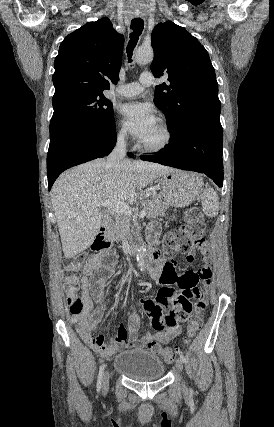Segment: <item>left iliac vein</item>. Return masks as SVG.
<instances>
[{
	"mask_svg": "<svg viewBox=\"0 0 274 427\" xmlns=\"http://www.w3.org/2000/svg\"><path fill=\"white\" fill-rule=\"evenodd\" d=\"M175 367H176V371L177 372L182 373V371H183V363H182V360L180 358L176 359Z\"/></svg>",
	"mask_w": 274,
	"mask_h": 427,
	"instance_id": "left-iliac-vein-1",
	"label": "left iliac vein"
}]
</instances>
